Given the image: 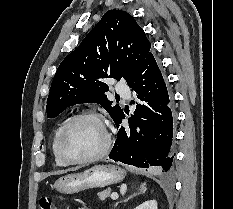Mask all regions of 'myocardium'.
<instances>
[{
	"label": "myocardium",
	"mask_w": 233,
	"mask_h": 209,
	"mask_svg": "<svg viewBox=\"0 0 233 209\" xmlns=\"http://www.w3.org/2000/svg\"><path fill=\"white\" fill-rule=\"evenodd\" d=\"M85 118L97 120L102 125V127L104 129V133H105L104 145L97 153H95L91 156L84 157V158H70L65 153V151L63 149V143H64L65 136L67 134L68 129L70 128V126L74 122H76L80 119H85ZM111 144H112L111 133L108 129V126H107L103 116L101 114H99L98 112L91 111V110H85V111L79 112V113L71 116L70 118H68L64 122V124L60 130L58 140H57V153H58L60 159L67 164H70V165L88 164V163H91V162H94V161H97V160L103 158L109 152V150L111 148Z\"/></svg>",
	"instance_id": "myocardium-1"
}]
</instances>
